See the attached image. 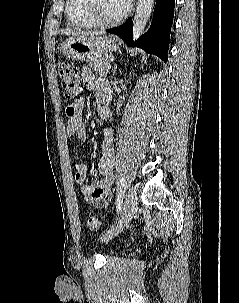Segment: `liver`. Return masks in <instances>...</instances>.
<instances>
[{
  "mask_svg": "<svg viewBox=\"0 0 239 303\" xmlns=\"http://www.w3.org/2000/svg\"><path fill=\"white\" fill-rule=\"evenodd\" d=\"M66 35H71L72 37H80V36H87V35H90V36H94V35H100L102 34V32H97V31H90V32H81V33H78V32H72V31H67V32H64Z\"/></svg>",
  "mask_w": 239,
  "mask_h": 303,
  "instance_id": "obj_1",
  "label": "liver"
}]
</instances>
